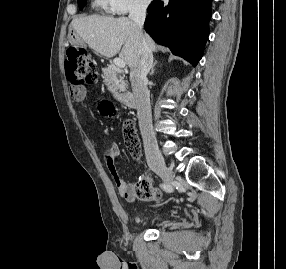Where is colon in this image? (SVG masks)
<instances>
[{"label":"colon","mask_w":286,"mask_h":269,"mask_svg":"<svg viewBox=\"0 0 286 269\" xmlns=\"http://www.w3.org/2000/svg\"><path fill=\"white\" fill-rule=\"evenodd\" d=\"M65 68L73 88L91 84L97 78L96 66L91 54L75 46H70L67 49ZM100 111L103 114H110L112 112L111 104L106 101L102 102ZM123 134L126 148L134 158L138 159L141 153L140 141L132 121H125ZM134 192L136 198L144 202L156 201L160 197L159 190L152 185L150 177L145 174L141 175L135 183Z\"/></svg>","instance_id":"1"}]
</instances>
